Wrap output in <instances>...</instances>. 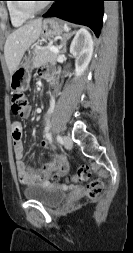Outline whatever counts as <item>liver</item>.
Listing matches in <instances>:
<instances>
[{
  "mask_svg": "<svg viewBox=\"0 0 133 253\" xmlns=\"http://www.w3.org/2000/svg\"><path fill=\"white\" fill-rule=\"evenodd\" d=\"M42 19H36L13 31L6 39L4 56L10 74L19 66L25 51L40 36Z\"/></svg>",
  "mask_w": 133,
  "mask_h": 253,
  "instance_id": "1",
  "label": "liver"
}]
</instances>
